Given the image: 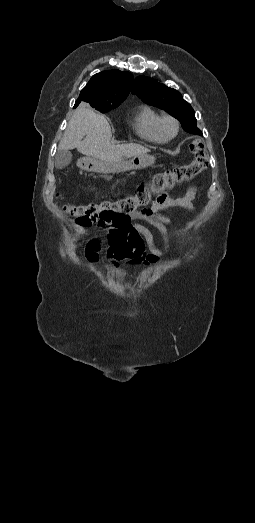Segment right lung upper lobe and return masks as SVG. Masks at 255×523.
<instances>
[{
	"mask_svg": "<svg viewBox=\"0 0 255 523\" xmlns=\"http://www.w3.org/2000/svg\"><path fill=\"white\" fill-rule=\"evenodd\" d=\"M132 82L133 75L129 72L109 70L95 74L80 92L75 106L81 101L89 103L90 106L123 102L130 93Z\"/></svg>",
	"mask_w": 255,
	"mask_h": 523,
	"instance_id": "right-lung-upper-lobe-1",
	"label": "right lung upper lobe"
}]
</instances>
